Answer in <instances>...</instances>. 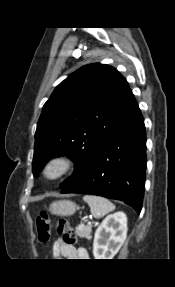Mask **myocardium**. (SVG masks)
<instances>
[{"label": "myocardium", "instance_id": "obj_1", "mask_svg": "<svg viewBox=\"0 0 175 287\" xmlns=\"http://www.w3.org/2000/svg\"><path fill=\"white\" fill-rule=\"evenodd\" d=\"M75 167L74 159L67 154L51 157L42 168V176L48 182H57L69 175Z\"/></svg>", "mask_w": 175, "mask_h": 287}]
</instances>
